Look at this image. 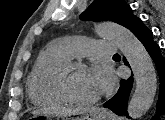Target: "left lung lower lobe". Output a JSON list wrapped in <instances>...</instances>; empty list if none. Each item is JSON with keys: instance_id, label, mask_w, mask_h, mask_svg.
Wrapping results in <instances>:
<instances>
[{"instance_id": "0a47b994", "label": "left lung lower lobe", "mask_w": 165, "mask_h": 120, "mask_svg": "<svg viewBox=\"0 0 165 120\" xmlns=\"http://www.w3.org/2000/svg\"><path fill=\"white\" fill-rule=\"evenodd\" d=\"M141 43L146 48L147 52L153 59L157 72L160 77V95L159 100L157 102V109L161 112H165V58L160 53V48L157 43L153 41V33L150 29H148L143 21L140 18H137L132 25L130 30ZM126 65L128 63L124 59ZM129 66V65H128ZM133 86V77H129L127 80H121V86L118 90V93L114 95L110 100L103 104V107L112 110L117 115H127V102L129 98L130 91ZM152 120H158L157 117Z\"/></svg>"}]
</instances>
